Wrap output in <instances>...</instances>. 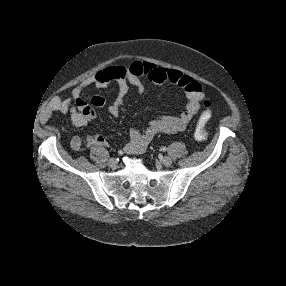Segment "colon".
<instances>
[{
    "label": "colon",
    "mask_w": 286,
    "mask_h": 286,
    "mask_svg": "<svg viewBox=\"0 0 286 286\" xmlns=\"http://www.w3.org/2000/svg\"><path fill=\"white\" fill-rule=\"evenodd\" d=\"M202 105H203L204 110L194 130V137L197 140H204L208 137V131L206 130L205 126L212 115L211 103L207 98L202 99Z\"/></svg>",
    "instance_id": "5ec220e1"
}]
</instances>
